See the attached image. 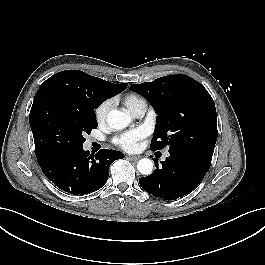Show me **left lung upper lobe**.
Here are the masks:
<instances>
[{"label": "left lung upper lobe", "mask_w": 265, "mask_h": 265, "mask_svg": "<svg viewBox=\"0 0 265 265\" xmlns=\"http://www.w3.org/2000/svg\"><path fill=\"white\" fill-rule=\"evenodd\" d=\"M130 88L148 100L158 114L151 150L167 146L170 155L191 156L211 165L217 116L204 86L185 75H169Z\"/></svg>", "instance_id": "left-lung-upper-lobe-1"}]
</instances>
